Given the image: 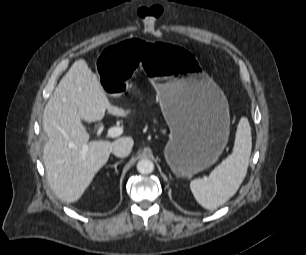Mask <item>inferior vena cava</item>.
<instances>
[{"label": "inferior vena cava", "mask_w": 306, "mask_h": 255, "mask_svg": "<svg viewBox=\"0 0 306 255\" xmlns=\"http://www.w3.org/2000/svg\"><path fill=\"white\" fill-rule=\"evenodd\" d=\"M132 146H133V141L131 138L128 137L122 138L114 143L112 152L115 156L124 158L130 154Z\"/></svg>", "instance_id": "inferior-vena-cava-1"}]
</instances>
